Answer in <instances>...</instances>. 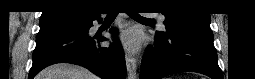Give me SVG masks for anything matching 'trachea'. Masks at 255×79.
<instances>
[{
	"instance_id": "trachea-1",
	"label": "trachea",
	"mask_w": 255,
	"mask_h": 79,
	"mask_svg": "<svg viewBox=\"0 0 255 79\" xmlns=\"http://www.w3.org/2000/svg\"><path fill=\"white\" fill-rule=\"evenodd\" d=\"M134 20H138V21H151V19H148V18H144V17H141L140 15L138 14H129ZM117 16V13L115 12H111V13H108L106 18H115Z\"/></svg>"
}]
</instances>
